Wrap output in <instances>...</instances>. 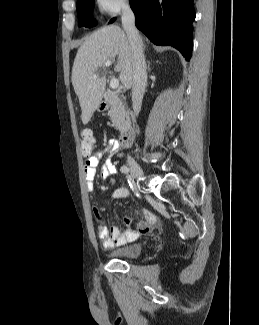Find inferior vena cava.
I'll return each instance as SVG.
<instances>
[{
	"label": "inferior vena cava",
	"instance_id": "obj_1",
	"mask_svg": "<svg viewBox=\"0 0 259 325\" xmlns=\"http://www.w3.org/2000/svg\"><path fill=\"white\" fill-rule=\"evenodd\" d=\"M122 26L125 30L131 46H132V107H133V119L138 116L142 99L147 84V68L145 63V57L143 55L142 41L139 36L138 30L135 27L134 13L129 7L125 5L122 9Z\"/></svg>",
	"mask_w": 259,
	"mask_h": 325
}]
</instances>
